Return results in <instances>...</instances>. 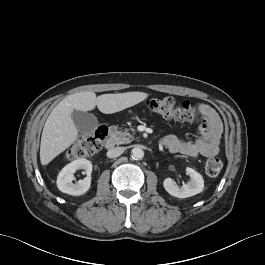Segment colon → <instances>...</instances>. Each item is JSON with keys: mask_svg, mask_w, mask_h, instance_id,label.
<instances>
[{"mask_svg": "<svg viewBox=\"0 0 265 265\" xmlns=\"http://www.w3.org/2000/svg\"><path fill=\"white\" fill-rule=\"evenodd\" d=\"M148 108L165 118L178 119L184 122H195L202 115L198 107L189 102H177L171 97L153 98L147 102ZM109 130L105 125L99 126L90 135L80 138L68 151L71 158H82L95 154L101 147L103 140L108 136ZM222 161L217 155H210L205 162L208 176L219 175Z\"/></svg>", "mask_w": 265, "mask_h": 265, "instance_id": "obj_1", "label": "colon"}]
</instances>
